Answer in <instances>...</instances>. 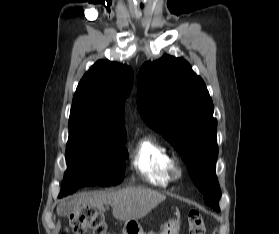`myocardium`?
<instances>
[{
	"label": "myocardium",
	"mask_w": 279,
	"mask_h": 234,
	"mask_svg": "<svg viewBox=\"0 0 279 234\" xmlns=\"http://www.w3.org/2000/svg\"><path fill=\"white\" fill-rule=\"evenodd\" d=\"M170 174H171L172 179L178 180V179L182 178V176L184 174V170L179 163L174 161L170 168Z\"/></svg>",
	"instance_id": "1"
}]
</instances>
